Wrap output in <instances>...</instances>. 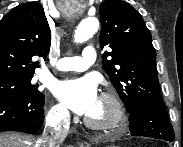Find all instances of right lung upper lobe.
Listing matches in <instances>:
<instances>
[{
    "instance_id": "obj_1",
    "label": "right lung upper lobe",
    "mask_w": 183,
    "mask_h": 147,
    "mask_svg": "<svg viewBox=\"0 0 183 147\" xmlns=\"http://www.w3.org/2000/svg\"><path fill=\"white\" fill-rule=\"evenodd\" d=\"M51 31L43 7L37 2L22 3L0 21V80L34 74L38 62L46 59Z\"/></svg>"
}]
</instances>
